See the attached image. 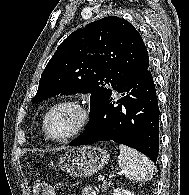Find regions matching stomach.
Returning <instances> with one entry per match:
<instances>
[{
    "mask_svg": "<svg viewBox=\"0 0 189 195\" xmlns=\"http://www.w3.org/2000/svg\"><path fill=\"white\" fill-rule=\"evenodd\" d=\"M110 155L102 148L81 146L68 150L61 155L56 164L62 171L74 177H87L97 173L108 163Z\"/></svg>",
    "mask_w": 189,
    "mask_h": 195,
    "instance_id": "1",
    "label": "stomach"
}]
</instances>
